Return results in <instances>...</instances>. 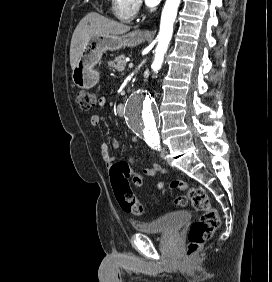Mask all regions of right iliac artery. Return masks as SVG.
<instances>
[{
  "label": "right iliac artery",
  "mask_w": 272,
  "mask_h": 282,
  "mask_svg": "<svg viewBox=\"0 0 272 282\" xmlns=\"http://www.w3.org/2000/svg\"><path fill=\"white\" fill-rule=\"evenodd\" d=\"M148 145L151 146L152 148H154L155 146L152 142H149Z\"/></svg>",
  "instance_id": "82829eb1"
}]
</instances>
